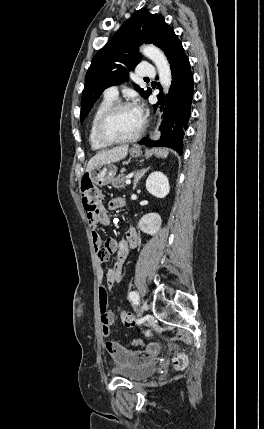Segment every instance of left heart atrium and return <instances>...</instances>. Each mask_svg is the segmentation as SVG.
Returning <instances> with one entry per match:
<instances>
[{
    "label": "left heart atrium",
    "instance_id": "1",
    "mask_svg": "<svg viewBox=\"0 0 264 429\" xmlns=\"http://www.w3.org/2000/svg\"><path fill=\"white\" fill-rule=\"evenodd\" d=\"M136 113L142 118V107L136 106L135 108Z\"/></svg>",
    "mask_w": 264,
    "mask_h": 429
}]
</instances>
